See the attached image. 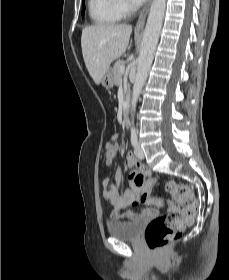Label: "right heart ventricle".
Segmentation results:
<instances>
[{
  "instance_id": "1",
  "label": "right heart ventricle",
  "mask_w": 229,
  "mask_h": 280,
  "mask_svg": "<svg viewBox=\"0 0 229 280\" xmlns=\"http://www.w3.org/2000/svg\"><path fill=\"white\" fill-rule=\"evenodd\" d=\"M89 16L98 26H111L123 17L115 0H89Z\"/></svg>"
}]
</instances>
